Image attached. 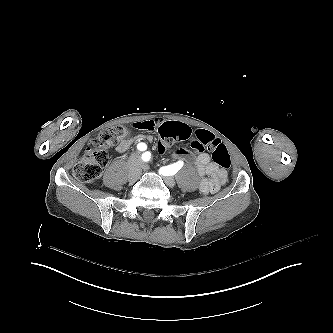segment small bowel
Instances as JSON below:
<instances>
[{
    "label": "small bowel",
    "mask_w": 333,
    "mask_h": 333,
    "mask_svg": "<svg viewBox=\"0 0 333 333\" xmlns=\"http://www.w3.org/2000/svg\"><path fill=\"white\" fill-rule=\"evenodd\" d=\"M165 122L168 121L163 118H153L137 121L134 123V127L139 130H157ZM203 133L208 132L196 131L195 135H203ZM152 139L153 137L151 135H137L120 142L117 145L116 150L119 153L124 154L133 145L143 141H152ZM173 159L189 162L191 160V155L186 149H178L173 153ZM195 166L197 174L203 177L199 184V190L203 195L216 193L225 183L227 178L226 171L220 168L216 163L212 162L207 153H201L195 158Z\"/></svg>",
    "instance_id": "1"
}]
</instances>
